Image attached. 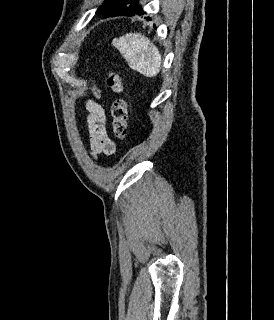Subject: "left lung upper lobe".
Masks as SVG:
<instances>
[{
  "mask_svg": "<svg viewBox=\"0 0 274 320\" xmlns=\"http://www.w3.org/2000/svg\"><path fill=\"white\" fill-rule=\"evenodd\" d=\"M135 2L136 0H106L96 13L105 15L112 12H122Z\"/></svg>",
  "mask_w": 274,
  "mask_h": 320,
  "instance_id": "obj_1",
  "label": "left lung upper lobe"
}]
</instances>
